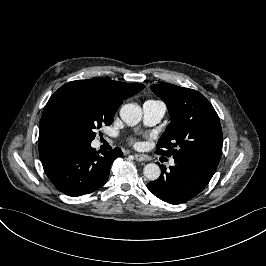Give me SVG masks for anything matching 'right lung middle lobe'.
Masks as SVG:
<instances>
[{"label": "right lung middle lobe", "instance_id": "dd1d6c3e", "mask_svg": "<svg viewBox=\"0 0 266 266\" xmlns=\"http://www.w3.org/2000/svg\"><path fill=\"white\" fill-rule=\"evenodd\" d=\"M53 122L63 143H91L96 128L110 125L118 107L92 85L77 84L59 91L51 102Z\"/></svg>", "mask_w": 266, "mask_h": 266}]
</instances>
